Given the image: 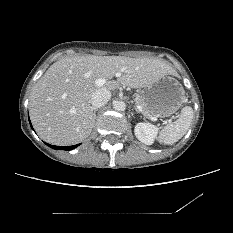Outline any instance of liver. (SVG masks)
I'll list each match as a JSON object with an SVG mask.
<instances>
[{
  "label": "liver",
  "mask_w": 233,
  "mask_h": 233,
  "mask_svg": "<svg viewBox=\"0 0 233 233\" xmlns=\"http://www.w3.org/2000/svg\"><path fill=\"white\" fill-rule=\"evenodd\" d=\"M175 70L165 61L124 56H68L53 63L37 81L30 97V117L38 135L54 145H73L86 139L94 127L91 96L99 89L119 85L144 88ZM107 81L98 87L95 80Z\"/></svg>",
  "instance_id": "6515ba94"
}]
</instances>
